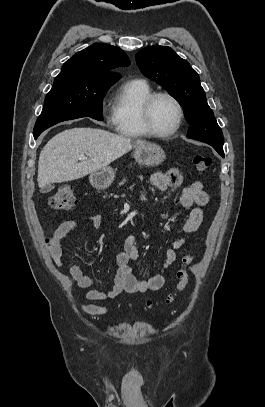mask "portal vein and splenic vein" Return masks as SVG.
I'll return each mask as SVG.
<instances>
[{
    "label": "portal vein and splenic vein",
    "mask_w": 265,
    "mask_h": 407,
    "mask_svg": "<svg viewBox=\"0 0 265 407\" xmlns=\"http://www.w3.org/2000/svg\"><path fill=\"white\" fill-rule=\"evenodd\" d=\"M79 159H80V160H84V159H86V156H85V155H81V156L79 157Z\"/></svg>",
    "instance_id": "18ae733b"
}]
</instances>
